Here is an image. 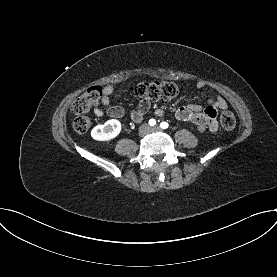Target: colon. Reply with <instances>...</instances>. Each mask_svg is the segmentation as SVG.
<instances>
[{
	"instance_id": "colon-1",
	"label": "colon",
	"mask_w": 277,
	"mask_h": 277,
	"mask_svg": "<svg viewBox=\"0 0 277 277\" xmlns=\"http://www.w3.org/2000/svg\"><path fill=\"white\" fill-rule=\"evenodd\" d=\"M133 92L146 100H156L167 102L183 91V86L171 81H150L139 83L133 87ZM102 97L100 87H91L72 104L71 110L76 115L73 120V129L78 133H85L91 126V119L86 114L96 106ZM220 123L226 130L235 127L236 120L233 113L223 109L220 113Z\"/></svg>"
}]
</instances>
